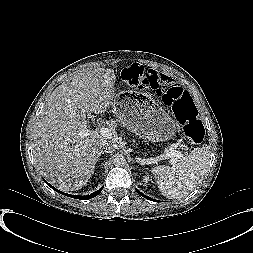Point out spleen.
<instances>
[{
	"mask_svg": "<svg viewBox=\"0 0 253 253\" xmlns=\"http://www.w3.org/2000/svg\"><path fill=\"white\" fill-rule=\"evenodd\" d=\"M210 161V151L203 146L175 160L172 167L156 166L152 174L163 196L179 199L193 191L202 181Z\"/></svg>",
	"mask_w": 253,
	"mask_h": 253,
	"instance_id": "spleen-1",
	"label": "spleen"
}]
</instances>
